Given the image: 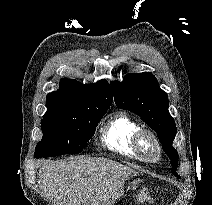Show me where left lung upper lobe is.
<instances>
[{
    "mask_svg": "<svg viewBox=\"0 0 212 205\" xmlns=\"http://www.w3.org/2000/svg\"><path fill=\"white\" fill-rule=\"evenodd\" d=\"M117 107L136 113L159 137L176 173L178 153L172 147L176 135L174 119L168 111V97L150 72L127 74L122 82H110Z\"/></svg>",
    "mask_w": 212,
    "mask_h": 205,
    "instance_id": "obj_1",
    "label": "left lung upper lobe"
}]
</instances>
